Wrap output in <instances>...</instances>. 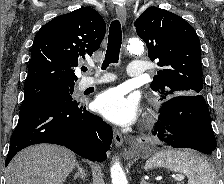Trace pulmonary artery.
I'll return each mask as SVG.
<instances>
[{
  "instance_id": "e3ab8cb5",
  "label": "pulmonary artery",
  "mask_w": 224,
  "mask_h": 184,
  "mask_svg": "<svg viewBox=\"0 0 224 184\" xmlns=\"http://www.w3.org/2000/svg\"><path fill=\"white\" fill-rule=\"evenodd\" d=\"M145 70L146 68L140 61H131L129 63L127 74L130 77H141L145 73ZM112 79L113 77L110 75H104L103 77L98 79L84 77L79 81L77 88L79 90H84L97 84L111 81Z\"/></svg>"
}]
</instances>
